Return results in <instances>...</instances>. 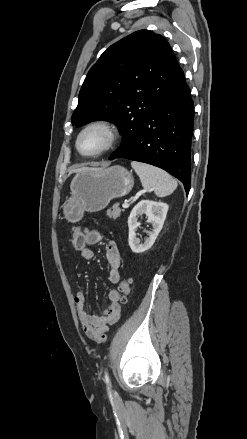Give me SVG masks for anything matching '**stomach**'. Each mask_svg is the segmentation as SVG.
Segmentation results:
<instances>
[{
    "mask_svg": "<svg viewBox=\"0 0 247 439\" xmlns=\"http://www.w3.org/2000/svg\"><path fill=\"white\" fill-rule=\"evenodd\" d=\"M133 185L132 173L120 165L77 173L70 185L71 196L62 205L63 214L69 222L79 221L85 211L104 209L112 199L127 195Z\"/></svg>",
    "mask_w": 247,
    "mask_h": 439,
    "instance_id": "1",
    "label": "stomach"
}]
</instances>
